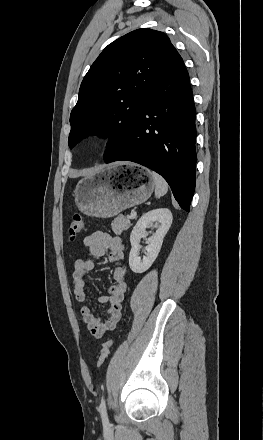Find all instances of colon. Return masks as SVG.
<instances>
[{"mask_svg": "<svg viewBox=\"0 0 263 440\" xmlns=\"http://www.w3.org/2000/svg\"><path fill=\"white\" fill-rule=\"evenodd\" d=\"M84 220L80 215H74L69 224L68 234L70 239H75L83 230ZM112 341H107L102 345L100 355L98 357L97 366L100 367L106 361Z\"/></svg>", "mask_w": 263, "mask_h": 440, "instance_id": "colon-1", "label": "colon"}]
</instances>
